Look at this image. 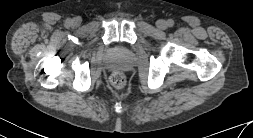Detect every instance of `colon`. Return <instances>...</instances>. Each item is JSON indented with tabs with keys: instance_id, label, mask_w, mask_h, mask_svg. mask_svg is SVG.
<instances>
[{
	"instance_id": "1",
	"label": "colon",
	"mask_w": 253,
	"mask_h": 138,
	"mask_svg": "<svg viewBox=\"0 0 253 138\" xmlns=\"http://www.w3.org/2000/svg\"><path fill=\"white\" fill-rule=\"evenodd\" d=\"M110 82L115 88H122L125 85V76L120 72H115L110 77Z\"/></svg>"
}]
</instances>
